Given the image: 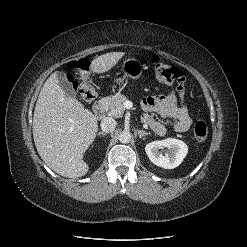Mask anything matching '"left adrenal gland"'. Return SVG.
Segmentation results:
<instances>
[{
	"mask_svg": "<svg viewBox=\"0 0 247 247\" xmlns=\"http://www.w3.org/2000/svg\"><path fill=\"white\" fill-rule=\"evenodd\" d=\"M137 132H138L139 138H142L143 136H145V135H148V134H149L148 132L141 131V130H137Z\"/></svg>",
	"mask_w": 247,
	"mask_h": 247,
	"instance_id": "a2214340",
	"label": "left adrenal gland"
}]
</instances>
